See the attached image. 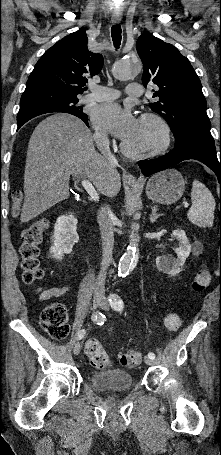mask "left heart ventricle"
Listing matches in <instances>:
<instances>
[{
  "mask_svg": "<svg viewBox=\"0 0 221 455\" xmlns=\"http://www.w3.org/2000/svg\"><path fill=\"white\" fill-rule=\"evenodd\" d=\"M161 140L157 125L150 121H138L134 135L125 141L133 149L143 150L156 146Z\"/></svg>",
  "mask_w": 221,
  "mask_h": 455,
  "instance_id": "obj_1",
  "label": "left heart ventricle"
}]
</instances>
